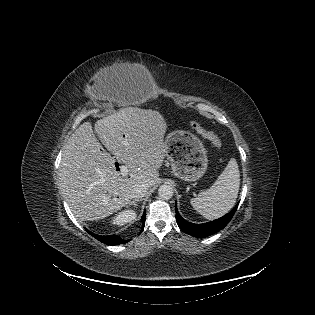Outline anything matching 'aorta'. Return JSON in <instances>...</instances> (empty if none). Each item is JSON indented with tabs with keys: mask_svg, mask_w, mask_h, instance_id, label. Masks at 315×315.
Returning <instances> with one entry per match:
<instances>
[{
	"mask_svg": "<svg viewBox=\"0 0 315 315\" xmlns=\"http://www.w3.org/2000/svg\"><path fill=\"white\" fill-rule=\"evenodd\" d=\"M173 188L170 185H161L158 189V195L161 199L168 200L173 196Z\"/></svg>",
	"mask_w": 315,
	"mask_h": 315,
	"instance_id": "aorta-1",
	"label": "aorta"
}]
</instances>
